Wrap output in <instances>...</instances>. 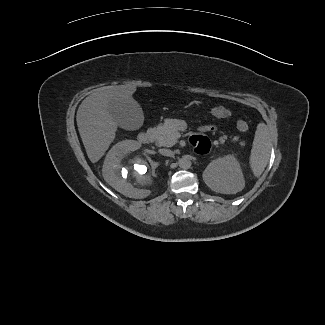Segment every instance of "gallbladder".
Listing matches in <instances>:
<instances>
[{"mask_svg": "<svg viewBox=\"0 0 325 325\" xmlns=\"http://www.w3.org/2000/svg\"><path fill=\"white\" fill-rule=\"evenodd\" d=\"M108 110L115 122L123 129H139L144 121L140 105L132 99L112 100Z\"/></svg>", "mask_w": 325, "mask_h": 325, "instance_id": "gallbladder-1", "label": "gallbladder"}]
</instances>
